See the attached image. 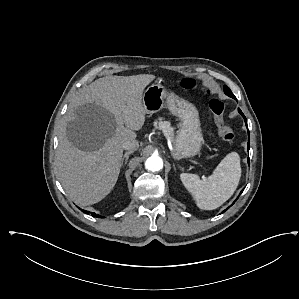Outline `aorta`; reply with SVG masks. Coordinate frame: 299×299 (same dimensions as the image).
I'll return each mask as SVG.
<instances>
[{
    "mask_svg": "<svg viewBox=\"0 0 299 299\" xmlns=\"http://www.w3.org/2000/svg\"><path fill=\"white\" fill-rule=\"evenodd\" d=\"M145 167L149 171H160L163 168V160L159 156H151L145 162Z\"/></svg>",
    "mask_w": 299,
    "mask_h": 299,
    "instance_id": "aorta-1",
    "label": "aorta"
}]
</instances>
